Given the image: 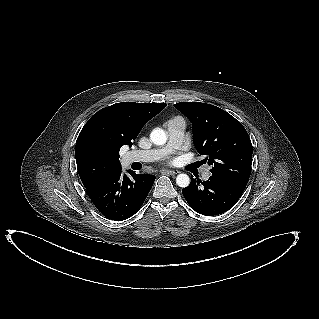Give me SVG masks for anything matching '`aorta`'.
Listing matches in <instances>:
<instances>
[{
	"label": "aorta",
	"instance_id": "obj_1",
	"mask_svg": "<svg viewBox=\"0 0 319 319\" xmlns=\"http://www.w3.org/2000/svg\"><path fill=\"white\" fill-rule=\"evenodd\" d=\"M150 140L155 145H164L167 141V135L161 128H155L150 134ZM176 184L179 187H187L190 184L189 176L186 174H179L176 178Z\"/></svg>",
	"mask_w": 319,
	"mask_h": 319
}]
</instances>
